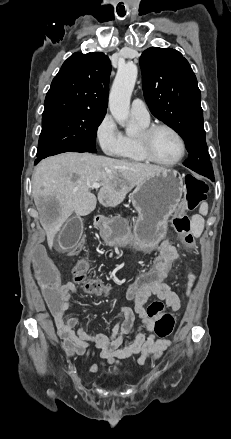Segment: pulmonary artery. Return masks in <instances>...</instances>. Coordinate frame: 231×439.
Segmentation results:
<instances>
[{
  "label": "pulmonary artery",
  "mask_w": 231,
  "mask_h": 439,
  "mask_svg": "<svg viewBox=\"0 0 231 439\" xmlns=\"http://www.w3.org/2000/svg\"><path fill=\"white\" fill-rule=\"evenodd\" d=\"M130 113L133 118L148 122L150 120L149 111L145 103L140 99H134L131 104Z\"/></svg>",
  "instance_id": "pulmonary-artery-1"
}]
</instances>
